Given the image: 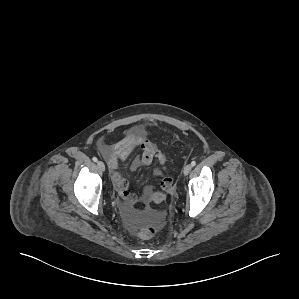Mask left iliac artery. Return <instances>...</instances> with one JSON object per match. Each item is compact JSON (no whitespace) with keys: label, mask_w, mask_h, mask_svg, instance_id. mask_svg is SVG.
I'll return each mask as SVG.
<instances>
[{"label":"left iliac artery","mask_w":299,"mask_h":299,"mask_svg":"<svg viewBox=\"0 0 299 299\" xmlns=\"http://www.w3.org/2000/svg\"><path fill=\"white\" fill-rule=\"evenodd\" d=\"M191 165H192V167L195 166V165H196V162H195V161H192V162H191Z\"/></svg>","instance_id":"left-iliac-artery-1"}]
</instances>
